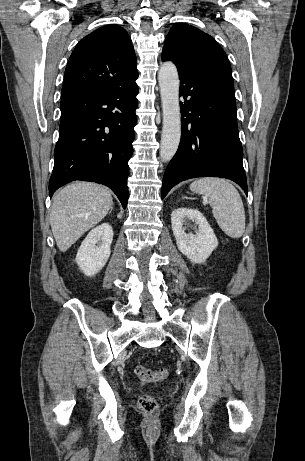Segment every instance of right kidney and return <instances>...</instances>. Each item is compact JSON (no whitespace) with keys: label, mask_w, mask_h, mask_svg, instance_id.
Wrapping results in <instances>:
<instances>
[{"label":"right kidney","mask_w":305,"mask_h":461,"mask_svg":"<svg viewBox=\"0 0 305 461\" xmlns=\"http://www.w3.org/2000/svg\"><path fill=\"white\" fill-rule=\"evenodd\" d=\"M113 240V229L103 223L92 229L81 243L76 263L86 276L96 275L106 264Z\"/></svg>","instance_id":"right-kidney-1"}]
</instances>
